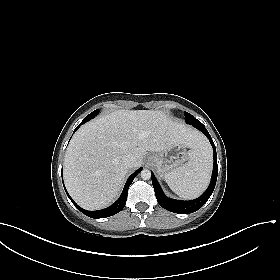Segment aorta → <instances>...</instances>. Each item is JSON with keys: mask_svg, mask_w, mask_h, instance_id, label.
<instances>
[{"mask_svg": "<svg viewBox=\"0 0 280 280\" xmlns=\"http://www.w3.org/2000/svg\"><path fill=\"white\" fill-rule=\"evenodd\" d=\"M141 178L143 180H149L151 178V172L148 169H144L141 171Z\"/></svg>", "mask_w": 280, "mask_h": 280, "instance_id": "aorta-1", "label": "aorta"}]
</instances>
